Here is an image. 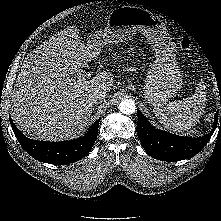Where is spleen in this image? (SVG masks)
Instances as JSON below:
<instances>
[{"label": "spleen", "mask_w": 221, "mask_h": 221, "mask_svg": "<svg viewBox=\"0 0 221 221\" xmlns=\"http://www.w3.org/2000/svg\"><path fill=\"white\" fill-rule=\"evenodd\" d=\"M206 90L200 81L191 97L170 102L165 107L155 106L153 112L165 128L174 132L191 129L199 121L205 108Z\"/></svg>", "instance_id": "3e777b00"}]
</instances>
